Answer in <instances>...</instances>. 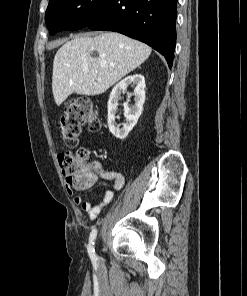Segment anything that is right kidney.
<instances>
[{
	"mask_svg": "<svg viewBox=\"0 0 247 296\" xmlns=\"http://www.w3.org/2000/svg\"><path fill=\"white\" fill-rule=\"evenodd\" d=\"M129 85H133L134 88V101L135 104L132 107L128 106V102L124 103V116L126 122L117 124L115 122L116 110L118 107V101L121 98V93H125ZM132 96L128 93V98ZM145 102V78L141 74H134L124 78L112 89V92L108 101V126L110 132L118 139H124L128 136L129 132L136 125L138 118L140 117L143 104Z\"/></svg>",
	"mask_w": 247,
	"mask_h": 296,
	"instance_id": "1",
	"label": "right kidney"
}]
</instances>
